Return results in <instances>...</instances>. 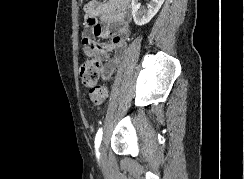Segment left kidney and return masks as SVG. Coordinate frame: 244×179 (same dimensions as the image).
I'll list each match as a JSON object with an SVG mask.
<instances>
[{
    "mask_svg": "<svg viewBox=\"0 0 244 179\" xmlns=\"http://www.w3.org/2000/svg\"><path fill=\"white\" fill-rule=\"evenodd\" d=\"M165 0H151L148 10L140 8L139 0H132V16L137 26H144L152 20L153 16L159 12Z\"/></svg>",
    "mask_w": 244,
    "mask_h": 179,
    "instance_id": "obj_1",
    "label": "left kidney"
}]
</instances>
